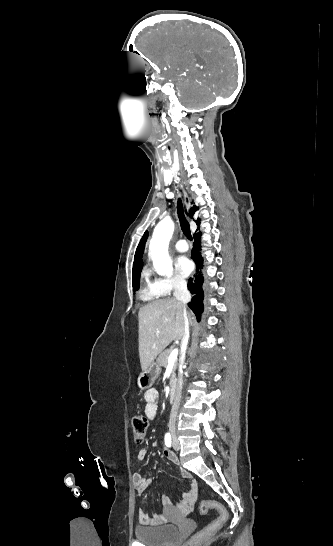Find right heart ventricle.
<instances>
[{"mask_svg":"<svg viewBox=\"0 0 333 546\" xmlns=\"http://www.w3.org/2000/svg\"><path fill=\"white\" fill-rule=\"evenodd\" d=\"M159 295L154 289V283L150 277V271L145 268L142 272V289H141V298L144 301L152 302L157 299Z\"/></svg>","mask_w":333,"mask_h":546,"instance_id":"right-heart-ventricle-1","label":"right heart ventricle"}]
</instances>
